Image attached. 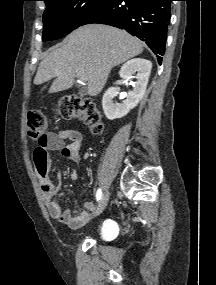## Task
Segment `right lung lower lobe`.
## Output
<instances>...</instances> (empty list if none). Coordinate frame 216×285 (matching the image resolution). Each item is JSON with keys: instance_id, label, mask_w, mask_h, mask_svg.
I'll return each instance as SVG.
<instances>
[{"instance_id": "obj_1", "label": "right lung lower lobe", "mask_w": 216, "mask_h": 285, "mask_svg": "<svg viewBox=\"0 0 216 285\" xmlns=\"http://www.w3.org/2000/svg\"><path fill=\"white\" fill-rule=\"evenodd\" d=\"M173 0H106L81 25L102 23L124 29L163 55ZM158 57L161 64L162 58Z\"/></svg>"}]
</instances>
